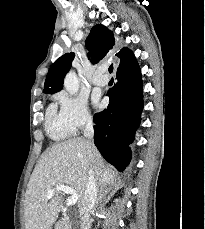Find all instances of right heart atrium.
<instances>
[{
	"label": "right heart atrium",
	"mask_w": 205,
	"mask_h": 229,
	"mask_svg": "<svg viewBox=\"0 0 205 229\" xmlns=\"http://www.w3.org/2000/svg\"><path fill=\"white\" fill-rule=\"evenodd\" d=\"M55 97L60 105L62 119L73 132L82 130L93 123V115L84 98L71 96L66 92H59Z\"/></svg>",
	"instance_id": "d8ad5b80"
}]
</instances>
